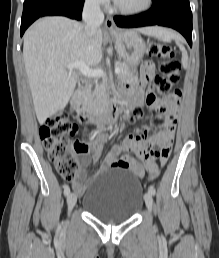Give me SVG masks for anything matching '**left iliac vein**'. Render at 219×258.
I'll use <instances>...</instances> for the list:
<instances>
[{
    "label": "left iliac vein",
    "mask_w": 219,
    "mask_h": 258,
    "mask_svg": "<svg viewBox=\"0 0 219 258\" xmlns=\"http://www.w3.org/2000/svg\"><path fill=\"white\" fill-rule=\"evenodd\" d=\"M145 204L149 212L152 211L153 207V196L149 192L144 195Z\"/></svg>",
    "instance_id": "obj_1"
}]
</instances>
